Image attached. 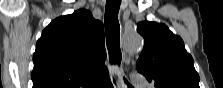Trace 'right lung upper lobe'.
I'll use <instances>...</instances> for the list:
<instances>
[{
    "label": "right lung upper lobe",
    "instance_id": "obj_1",
    "mask_svg": "<svg viewBox=\"0 0 223 88\" xmlns=\"http://www.w3.org/2000/svg\"><path fill=\"white\" fill-rule=\"evenodd\" d=\"M103 24L80 9L53 20L33 55V88H99L108 78Z\"/></svg>",
    "mask_w": 223,
    "mask_h": 88
}]
</instances>
